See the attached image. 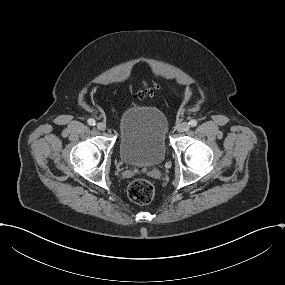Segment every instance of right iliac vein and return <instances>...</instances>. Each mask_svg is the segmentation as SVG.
Returning a JSON list of instances; mask_svg holds the SVG:
<instances>
[{
	"label": "right iliac vein",
	"mask_w": 285,
	"mask_h": 285,
	"mask_svg": "<svg viewBox=\"0 0 285 285\" xmlns=\"http://www.w3.org/2000/svg\"><path fill=\"white\" fill-rule=\"evenodd\" d=\"M96 127H97L98 130H101V131L106 129V125L104 123H101V122L97 123Z\"/></svg>",
	"instance_id": "obj_1"
}]
</instances>
